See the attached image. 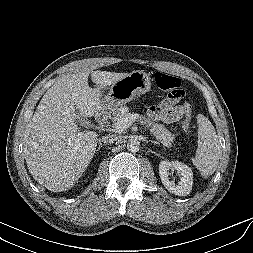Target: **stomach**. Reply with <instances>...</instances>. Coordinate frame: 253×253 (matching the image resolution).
<instances>
[{"label":"stomach","mask_w":253,"mask_h":253,"mask_svg":"<svg viewBox=\"0 0 253 253\" xmlns=\"http://www.w3.org/2000/svg\"><path fill=\"white\" fill-rule=\"evenodd\" d=\"M151 88V81L144 71L136 70L113 83L108 95L103 99L106 112L132 101L136 95L144 94Z\"/></svg>","instance_id":"1"}]
</instances>
